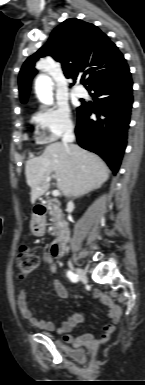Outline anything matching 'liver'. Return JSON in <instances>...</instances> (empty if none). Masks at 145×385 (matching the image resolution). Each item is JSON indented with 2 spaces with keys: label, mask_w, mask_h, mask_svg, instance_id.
I'll list each match as a JSON object with an SVG mask.
<instances>
[{
  "label": "liver",
  "mask_w": 145,
  "mask_h": 385,
  "mask_svg": "<svg viewBox=\"0 0 145 385\" xmlns=\"http://www.w3.org/2000/svg\"><path fill=\"white\" fill-rule=\"evenodd\" d=\"M51 173L62 195L73 197L99 188L109 177L107 165L96 154L78 145L52 143L41 156L30 158L25 165L32 204L50 188L46 177Z\"/></svg>",
  "instance_id": "liver-1"
}]
</instances>
